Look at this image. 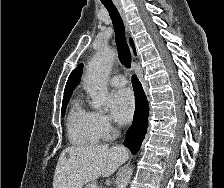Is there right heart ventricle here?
I'll list each match as a JSON object with an SVG mask.
<instances>
[{
  "label": "right heart ventricle",
  "mask_w": 224,
  "mask_h": 188,
  "mask_svg": "<svg viewBox=\"0 0 224 188\" xmlns=\"http://www.w3.org/2000/svg\"><path fill=\"white\" fill-rule=\"evenodd\" d=\"M67 127L69 138L76 145H94L100 138L92 125L90 112L79 102L73 105L69 113Z\"/></svg>",
  "instance_id": "1"
}]
</instances>
